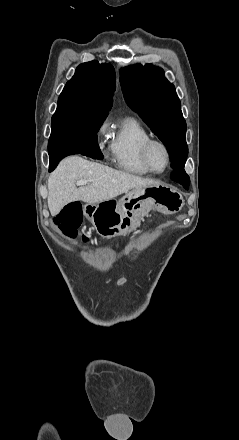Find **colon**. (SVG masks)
Here are the masks:
<instances>
[{"instance_id":"1","label":"colon","mask_w":239,"mask_h":440,"mask_svg":"<svg viewBox=\"0 0 239 440\" xmlns=\"http://www.w3.org/2000/svg\"><path fill=\"white\" fill-rule=\"evenodd\" d=\"M82 222V209L79 203H70L66 205L54 219V223L69 238H75L78 228ZM83 241H87L86 234L82 236Z\"/></svg>"}]
</instances>
